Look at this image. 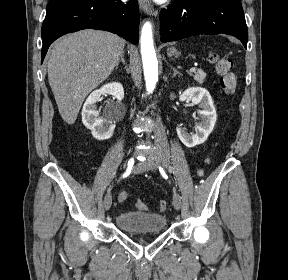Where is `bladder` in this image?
Returning a JSON list of instances; mask_svg holds the SVG:
<instances>
[{
    "label": "bladder",
    "instance_id": "31cf9c89",
    "mask_svg": "<svg viewBox=\"0 0 288 280\" xmlns=\"http://www.w3.org/2000/svg\"><path fill=\"white\" fill-rule=\"evenodd\" d=\"M165 215L154 212H121L115 218L118 229L127 233H152L165 229Z\"/></svg>",
    "mask_w": 288,
    "mask_h": 280
}]
</instances>
